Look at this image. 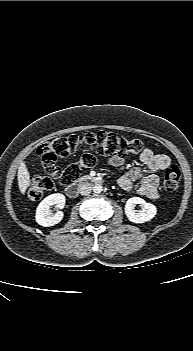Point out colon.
I'll return each instance as SVG.
<instances>
[{"label":"colon","mask_w":193,"mask_h":351,"mask_svg":"<svg viewBox=\"0 0 193 351\" xmlns=\"http://www.w3.org/2000/svg\"><path fill=\"white\" fill-rule=\"evenodd\" d=\"M142 149L143 143L139 139H129L104 131L57 137L37 148V154L41 157L44 169L49 175L34 178L28 188V196L33 200L41 199L53 189L55 178L64 186L75 182L81 175L82 168H90L97 164L98 156L136 155ZM78 150L84 151L78 162L69 164L63 170L56 167L57 157H67ZM180 181L179 167L175 164L169 165L164 172L165 190L176 191Z\"/></svg>","instance_id":"5ec220e1"}]
</instances>
